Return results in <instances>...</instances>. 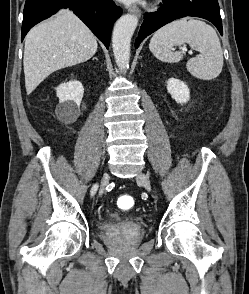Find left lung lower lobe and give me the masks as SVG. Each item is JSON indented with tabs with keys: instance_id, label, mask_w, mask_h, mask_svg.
Instances as JSON below:
<instances>
[{
	"instance_id": "0a47b994",
	"label": "left lung lower lobe",
	"mask_w": 249,
	"mask_h": 294,
	"mask_svg": "<svg viewBox=\"0 0 249 294\" xmlns=\"http://www.w3.org/2000/svg\"><path fill=\"white\" fill-rule=\"evenodd\" d=\"M185 16H196L212 22L223 35L218 0H163L160 10L146 13L135 47L165 24Z\"/></svg>"
}]
</instances>
